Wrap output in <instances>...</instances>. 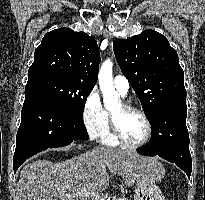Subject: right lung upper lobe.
<instances>
[{
  "instance_id": "right-lung-upper-lobe-1",
  "label": "right lung upper lobe",
  "mask_w": 205,
  "mask_h": 200,
  "mask_svg": "<svg viewBox=\"0 0 205 200\" xmlns=\"http://www.w3.org/2000/svg\"><path fill=\"white\" fill-rule=\"evenodd\" d=\"M100 53L97 42L85 32L59 28L47 33L34 53L28 77L54 74L94 86Z\"/></svg>"
}]
</instances>
